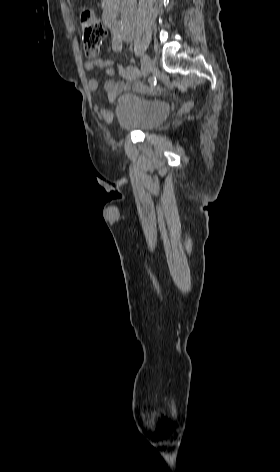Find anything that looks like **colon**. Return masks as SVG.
I'll return each mask as SVG.
<instances>
[{
	"instance_id": "obj_1",
	"label": "colon",
	"mask_w": 280,
	"mask_h": 472,
	"mask_svg": "<svg viewBox=\"0 0 280 472\" xmlns=\"http://www.w3.org/2000/svg\"><path fill=\"white\" fill-rule=\"evenodd\" d=\"M79 20L83 31V49L87 56L93 57L102 41L107 36V30L97 15L88 7L79 10Z\"/></svg>"
}]
</instances>
